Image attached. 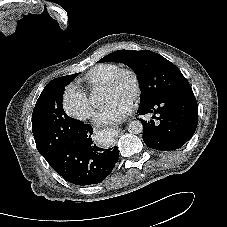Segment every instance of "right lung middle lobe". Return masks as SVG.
Returning <instances> with one entry per match:
<instances>
[{"label": "right lung middle lobe", "instance_id": "right-lung-middle-lobe-1", "mask_svg": "<svg viewBox=\"0 0 227 227\" xmlns=\"http://www.w3.org/2000/svg\"><path fill=\"white\" fill-rule=\"evenodd\" d=\"M79 73L50 81L40 94L32 113V132L37 150L51 156L67 140L69 127L76 120L65 114L62 99L65 86Z\"/></svg>", "mask_w": 227, "mask_h": 227}]
</instances>
